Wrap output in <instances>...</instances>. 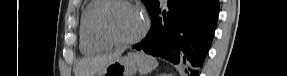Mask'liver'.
Segmentation results:
<instances>
[{
    "mask_svg": "<svg viewBox=\"0 0 287 76\" xmlns=\"http://www.w3.org/2000/svg\"><path fill=\"white\" fill-rule=\"evenodd\" d=\"M120 53L82 59L76 68V76H90L100 73L111 61L120 57Z\"/></svg>",
    "mask_w": 287,
    "mask_h": 76,
    "instance_id": "obj_1",
    "label": "liver"
}]
</instances>
